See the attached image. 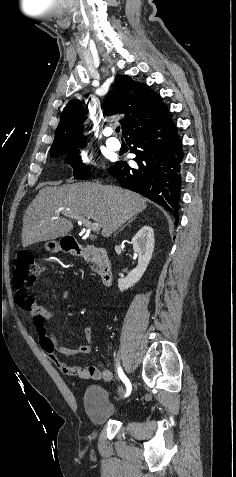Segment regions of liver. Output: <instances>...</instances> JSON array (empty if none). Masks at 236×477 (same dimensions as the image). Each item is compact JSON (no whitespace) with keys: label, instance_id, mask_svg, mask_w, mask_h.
I'll return each instance as SVG.
<instances>
[{"label":"liver","instance_id":"1","mask_svg":"<svg viewBox=\"0 0 236 477\" xmlns=\"http://www.w3.org/2000/svg\"><path fill=\"white\" fill-rule=\"evenodd\" d=\"M146 207L144 197L117 186L90 182L47 186L25 211L22 246L67 236L73 224L60 216L65 211L93 220L102 229V236L110 237Z\"/></svg>","mask_w":236,"mask_h":477}]
</instances>
